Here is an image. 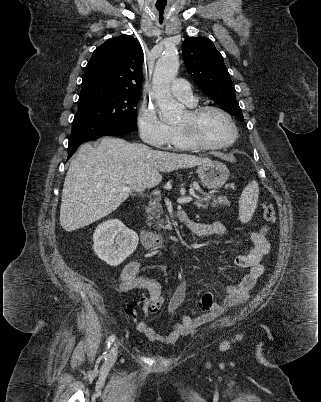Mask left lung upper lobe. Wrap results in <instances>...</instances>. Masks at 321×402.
<instances>
[{
  "label": "left lung upper lobe",
  "mask_w": 321,
  "mask_h": 402,
  "mask_svg": "<svg viewBox=\"0 0 321 402\" xmlns=\"http://www.w3.org/2000/svg\"><path fill=\"white\" fill-rule=\"evenodd\" d=\"M186 69L199 88L223 110L243 119L229 72L212 41L190 37L182 44Z\"/></svg>",
  "instance_id": "obj_1"
}]
</instances>
